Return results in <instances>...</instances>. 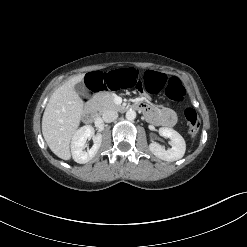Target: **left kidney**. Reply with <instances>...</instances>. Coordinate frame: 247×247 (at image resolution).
Returning a JSON list of instances; mask_svg holds the SVG:
<instances>
[{
  "label": "left kidney",
  "mask_w": 247,
  "mask_h": 247,
  "mask_svg": "<svg viewBox=\"0 0 247 247\" xmlns=\"http://www.w3.org/2000/svg\"><path fill=\"white\" fill-rule=\"evenodd\" d=\"M159 134L171 140V148L165 149L159 143L153 142L149 145L150 151L158 158L172 162L182 158L185 154L186 143L183 137L175 130L167 127H161Z\"/></svg>",
  "instance_id": "left-kidney-1"
}]
</instances>
